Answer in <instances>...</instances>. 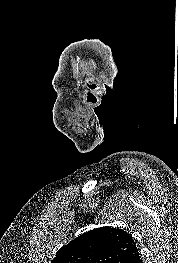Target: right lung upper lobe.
<instances>
[{
  "label": "right lung upper lobe",
  "instance_id": "right-lung-upper-lobe-1",
  "mask_svg": "<svg viewBox=\"0 0 178 263\" xmlns=\"http://www.w3.org/2000/svg\"><path fill=\"white\" fill-rule=\"evenodd\" d=\"M51 263H142V259L126 231L101 227L61 247Z\"/></svg>",
  "mask_w": 178,
  "mask_h": 263
}]
</instances>
